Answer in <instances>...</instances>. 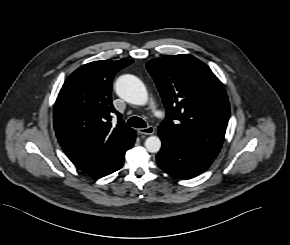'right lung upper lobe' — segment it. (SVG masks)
Returning <instances> with one entry per match:
<instances>
[{
  "instance_id": "right-lung-upper-lobe-1",
  "label": "right lung upper lobe",
  "mask_w": 290,
  "mask_h": 245,
  "mask_svg": "<svg viewBox=\"0 0 290 245\" xmlns=\"http://www.w3.org/2000/svg\"><path fill=\"white\" fill-rule=\"evenodd\" d=\"M132 63L102 60L81 66L64 82L54 106L61 147L75 166L96 178L115 172L136 138L111 100L114 75ZM113 113L118 117L116 126L111 123Z\"/></svg>"
}]
</instances>
